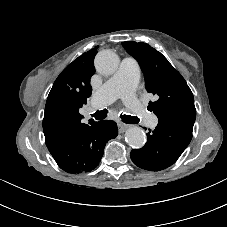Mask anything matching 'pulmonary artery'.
Listing matches in <instances>:
<instances>
[{
  "label": "pulmonary artery",
  "instance_id": "pulmonary-artery-1",
  "mask_svg": "<svg viewBox=\"0 0 227 227\" xmlns=\"http://www.w3.org/2000/svg\"><path fill=\"white\" fill-rule=\"evenodd\" d=\"M139 77L140 68L138 63L133 58H123L116 73L93 95L91 110L101 109L115 99L122 98L125 105L136 116L145 120L150 127H156L158 124L157 117L149 113L134 95Z\"/></svg>",
  "mask_w": 227,
  "mask_h": 227
}]
</instances>
